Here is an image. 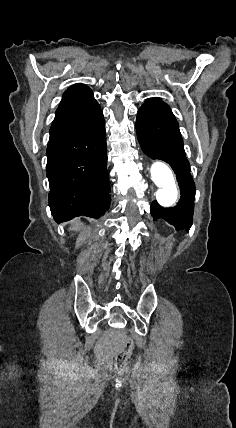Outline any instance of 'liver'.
Here are the masks:
<instances>
[{
  "label": "liver",
  "mask_w": 236,
  "mask_h": 428,
  "mask_svg": "<svg viewBox=\"0 0 236 428\" xmlns=\"http://www.w3.org/2000/svg\"><path fill=\"white\" fill-rule=\"evenodd\" d=\"M76 228H77V224H73L72 230H76Z\"/></svg>",
  "instance_id": "liver-1"
}]
</instances>
